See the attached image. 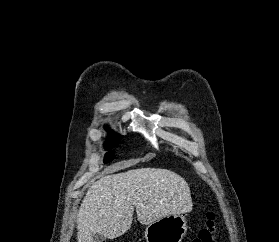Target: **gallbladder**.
<instances>
[{
	"mask_svg": "<svg viewBox=\"0 0 279 242\" xmlns=\"http://www.w3.org/2000/svg\"><path fill=\"white\" fill-rule=\"evenodd\" d=\"M104 241V237L99 234L96 233L95 235H93V242H103Z\"/></svg>",
	"mask_w": 279,
	"mask_h": 242,
	"instance_id": "gallbladder-1",
	"label": "gallbladder"
}]
</instances>
